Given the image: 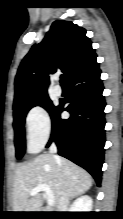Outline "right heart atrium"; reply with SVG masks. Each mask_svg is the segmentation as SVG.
Wrapping results in <instances>:
<instances>
[{
	"instance_id": "right-heart-atrium-1",
	"label": "right heart atrium",
	"mask_w": 123,
	"mask_h": 219,
	"mask_svg": "<svg viewBox=\"0 0 123 219\" xmlns=\"http://www.w3.org/2000/svg\"><path fill=\"white\" fill-rule=\"evenodd\" d=\"M28 149L40 151L51 133V119L47 110L40 105L31 108L25 117Z\"/></svg>"
}]
</instances>
